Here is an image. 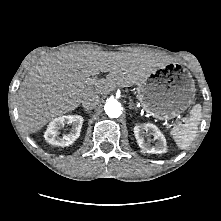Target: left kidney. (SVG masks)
Here are the masks:
<instances>
[{"instance_id":"5707ae66","label":"left kidney","mask_w":221,"mask_h":221,"mask_svg":"<svg viewBox=\"0 0 221 221\" xmlns=\"http://www.w3.org/2000/svg\"><path fill=\"white\" fill-rule=\"evenodd\" d=\"M153 135L154 140H156L155 146H151L144 140V135ZM134 135L137 139L139 147L148 153L162 154L167 150L166 139L161 131L154 124L147 123L136 125L134 127Z\"/></svg>"}]
</instances>
